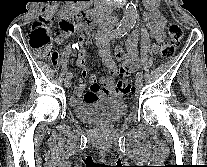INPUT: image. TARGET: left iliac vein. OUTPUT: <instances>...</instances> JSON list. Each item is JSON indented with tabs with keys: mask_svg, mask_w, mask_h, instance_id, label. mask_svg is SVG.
Masks as SVG:
<instances>
[{
	"mask_svg": "<svg viewBox=\"0 0 207 167\" xmlns=\"http://www.w3.org/2000/svg\"><path fill=\"white\" fill-rule=\"evenodd\" d=\"M142 84H143L142 77L141 76H137L136 77V80H135V86L137 88H141L142 87Z\"/></svg>",
	"mask_w": 207,
	"mask_h": 167,
	"instance_id": "left-iliac-vein-1",
	"label": "left iliac vein"
}]
</instances>
